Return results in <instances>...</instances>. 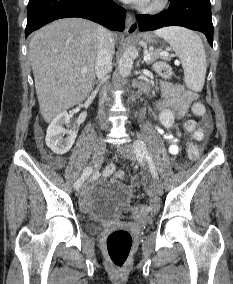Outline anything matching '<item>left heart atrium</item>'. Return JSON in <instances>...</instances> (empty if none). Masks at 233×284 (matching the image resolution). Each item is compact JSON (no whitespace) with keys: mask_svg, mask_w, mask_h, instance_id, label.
Masks as SVG:
<instances>
[{"mask_svg":"<svg viewBox=\"0 0 233 284\" xmlns=\"http://www.w3.org/2000/svg\"><path fill=\"white\" fill-rule=\"evenodd\" d=\"M123 1L129 2V3L138 4V5H143V4L146 3L148 0H123Z\"/></svg>","mask_w":233,"mask_h":284,"instance_id":"39dd6f15","label":"left heart atrium"}]
</instances>
